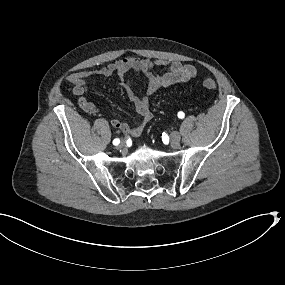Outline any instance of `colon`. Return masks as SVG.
<instances>
[{"label": "colon", "mask_w": 285, "mask_h": 285, "mask_svg": "<svg viewBox=\"0 0 285 285\" xmlns=\"http://www.w3.org/2000/svg\"><path fill=\"white\" fill-rule=\"evenodd\" d=\"M202 86L208 90L214 91L217 88V84L214 80L210 78H205L202 80Z\"/></svg>", "instance_id": "1"}]
</instances>
